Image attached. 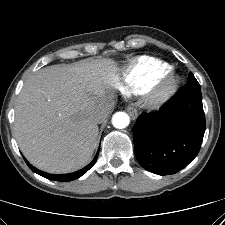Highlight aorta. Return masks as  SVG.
<instances>
[{"instance_id":"obj_1","label":"aorta","mask_w":225,"mask_h":225,"mask_svg":"<svg viewBox=\"0 0 225 225\" xmlns=\"http://www.w3.org/2000/svg\"><path fill=\"white\" fill-rule=\"evenodd\" d=\"M130 123V118L125 112H116L112 117V124L117 129H124Z\"/></svg>"}]
</instances>
